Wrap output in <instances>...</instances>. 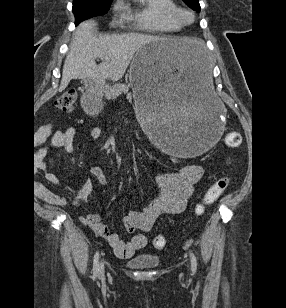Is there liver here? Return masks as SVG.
I'll return each instance as SVG.
<instances>
[{
  "instance_id": "obj_1",
  "label": "liver",
  "mask_w": 286,
  "mask_h": 308,
  "mask_svg": "<svg viewBox=\"0 0 286 308\" xmlns=\"http://www.w3.org/2000/svg\"><path fill=\"white\" fill-rule=\"evenodd\" d=\"M96 23L82 22L76 29L66 56L59 91H63L72 79H93L104 84L106 79L120 80L134 54L144 45L162 39L158 36L127 33L96 37ZM172 53L179 59L191 61L202 53L203 42L196 38H166ZM102 62L97 65L95 60ZM107 58V59H106Z\"/></svg>"
}]
</instances>
